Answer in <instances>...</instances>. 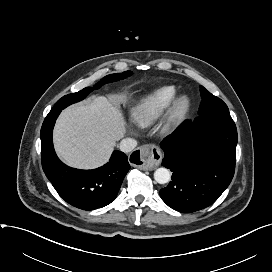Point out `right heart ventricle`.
Wrapping results in <instances>:
<instances>
[{"label": "right heart ventricle", "mask_w": 272, "mask_h": 272, "mask_svg": "<svg viewBox=\"0 0 272 272\" xmlns=\"http://www.w3.org/2000/svg\"><path fill=\"white\" fill-rule=\"evenodd\" d=\"M174 86H162L142 97L131 109V118L139 127H147L157 120L176 97Z\"/></svg>", "instance_id": "1"}]
</instances>
